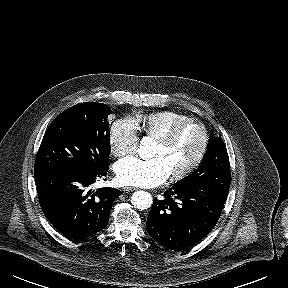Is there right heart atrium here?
I'll list each match as a JSON object with an SVG mask.
<instances>
[{
    "label": "right heart atrium",
    "mask_w": 288,
    "mask_h": 288,
    "mask_svg": "<svg viewBox=\"0 0 288 288\" xmlns=\"http://www.w3.org/2000/svg\"><path fill=\"white\" fill-rule=\"evenodd\" d=\"M139 141L138 127L131 118L115 121L109 131V144L113 155L122 157L132 154Z\"/></svg>",
    "instance_id": "d8ad5b80"
}]
</instances>
